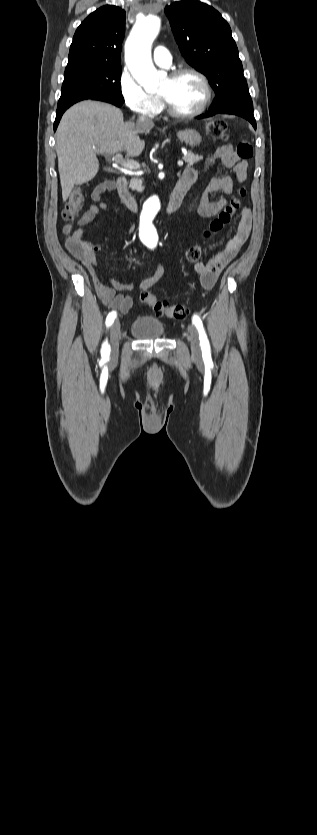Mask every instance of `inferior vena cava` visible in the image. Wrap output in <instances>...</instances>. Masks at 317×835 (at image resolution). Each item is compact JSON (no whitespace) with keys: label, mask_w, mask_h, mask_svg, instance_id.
Wrapping results in <instances>:
<instances>
[{"label":"inferior vena cava","mask_w":317,"mask_h":835,"mask_svg":"<svg viewBox=\"0 0 317 835\" xmlns=\"http://www.w3.org/2000/svg\"><path fill=\"white\" fill-rule=\"evenodd\" d=\"M137 124L142 126V127H150V126L153 125V122L150 119H148L144 116H139L138 120H137Z\"/></svg>","instance_id":"inferior-vena-cava-1"}]
</instances>
